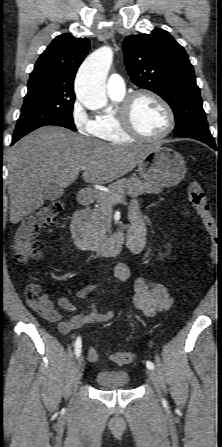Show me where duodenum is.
Segmentation results:
<instances>
[{
  "label": "duodenum",
  "instance_id": "obj_1",
  "mask_svg": "<svg viewBox=\"0 0 222 447\" xmlns=\"http://www.w3.org/2000/svg\"><path fill=\"white\" fill-rule=\"evenodd\" d=\"M80 208L77 209L71 220V231L75 243L81 249L90 250L100 253L104 256H117L124 247H127L134 253L142 251V244L138 241L141 234L140 220H131L129 229H118L112 235L104 239L93 238L86 225L85 209L88 208L93 201L92 195L86 190H80L77 195Z\"/></svg>",
  "mask_w": 222,
  "mask_h": 447
}]
</instances>
